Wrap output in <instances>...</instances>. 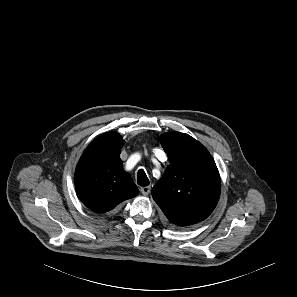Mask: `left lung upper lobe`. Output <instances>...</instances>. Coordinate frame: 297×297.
Returning a JSON list of instances; mask_svg holds the SVG:
<instances>
[{"instance_id": "obj_1", "label": "left lung upper lobe", "mask_w": 297, "mask_h": 297, "mask_svg": "<svg viewBox=\"0 0 297 297\" xmlns=\"http://www.w3.org/2000/svg\"><path fill=\"white\" fill-rule=\"evenodd\" d=\"M170 165L152 189L168 220L188 226L206 219L220 196V175L213 157L193 137L169 132L160 137Z\"/></svg>"}]
</instances>
